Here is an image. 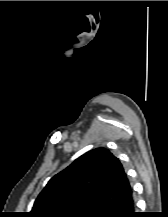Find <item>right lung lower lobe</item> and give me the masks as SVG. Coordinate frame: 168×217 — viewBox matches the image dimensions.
<instances>
[{
	"mask_svg": "<svg viewBox=\"0 0 168 217\" xmlns=\"http://www.w3.org/2000/svg\"><path fill=\"white\" fill-rule=\"evenodd\" d=\"M135 210L133 197L114 207L112 210L102 215L101 217H141Z\"/></svg>",
	"mask_w": 168,
	"mask_h": 217,
	"instance_id": "1",
	"label": "right lung lower lobe"
}]
</instances>
